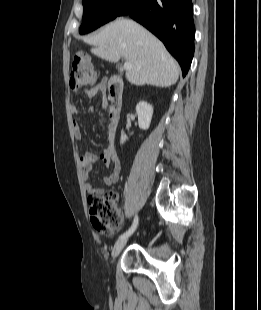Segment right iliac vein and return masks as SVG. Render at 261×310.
Returning <instances> with one entry per match:
<instances>
[{
	"instance_id": "right-iliac-vein-1",
	"label": "right iliac vein",
	"mask_w": 261,
	"mask_h": 310,
	"mask_svg": "<svg viewBox=\"0 0 261 310\" xmlns=\"http://www.w3.org/2000/svg\"><path fill=\"white\" fill-rule=\"evenodd\" d=\"M128 238L125 237V238H121L119 239L113 249H112V258L115 259L119 254L120 252L122 251V249L124 248V246L126 245V242H127Z\"/></svg>"
}]
</instances>
